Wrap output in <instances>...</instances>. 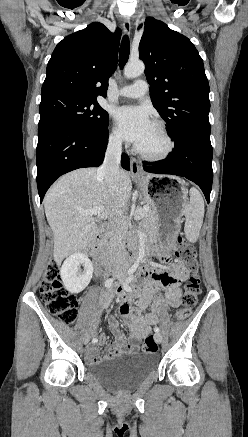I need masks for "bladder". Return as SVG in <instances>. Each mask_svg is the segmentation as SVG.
Masks as SVG:
<instances>
[{
	"instance_id": "obj_1",
	"label": "bladder",
	"mask_w": 248,
	"mask_h": 437,
	"mask_svg": "<svg viewBox=\"0 0 248 437\" xmlns=\"http://www.w3.org/2000/svg\"><path fill=\"white\" fill-rule=\"evenodd\" d=\"M157 366L153 353H127L88 367L90 376L114 392L136 388Z\"/></svg>"
}]
</instances>
